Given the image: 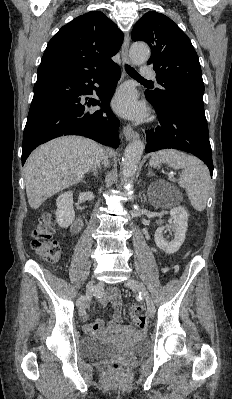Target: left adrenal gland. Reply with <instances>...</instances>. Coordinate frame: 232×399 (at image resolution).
Instances as JSON below:
<instances>
[{"label": "left adrenal gland", "mask_w": 232, "mask_h": 399, "mask_svg": "<svg viewBox=\"0 0 232 399\" xmlns=\"http://www.w3.org/2000/svg\"><path fill=\"white\" fill-rule=\"evenodd\" d=\"M147 176H155V174H152L151 170L149 172V174H147Z\"/></svg>", "instance_id": "a2214340"}]
</instances>
